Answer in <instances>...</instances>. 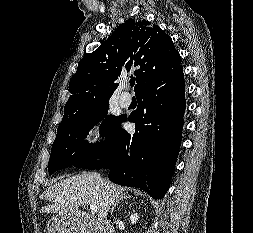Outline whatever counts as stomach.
Masks as SVG:
<instances>
[{"instance_id":"stomach-1","label":"stomach","mask_w":253,"mask_h":233,"mask_svg":"<svg viewBox=\"0 0 253 233\" xmlns=\"http://www.w3.org/2000/svg\"><path fill=\"white\" fill-rule=\"evenodd\" d=\"M76 214L57 215L48 222L49 233H76Z\"/></svg>"}]
</instances>
